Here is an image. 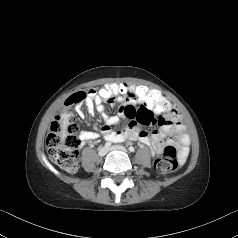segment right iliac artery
<instances>
[{"label":"right iliac artery","instance_id":"1","mask_svg":"<svg viewBox=\"0 0 238 238\" xmlns=\"http://www.w3.org/2000/svg\"><path fill=\"white\" fill-rule=\"evenodd\" d=\"M111 146V142H106L105 143V147H110Z\"/></svg>","mask_w":238,"mask_h":238}]
</instances>
